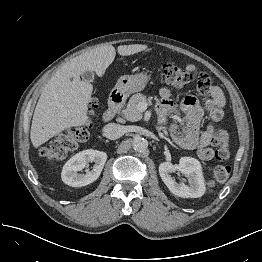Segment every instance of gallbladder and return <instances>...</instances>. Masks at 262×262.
I'll use <instances>...</instances> for the list:
<instances>
[{
  "label": "gallbladder",
  "mask_w": 262,
  "mask_h": 262,
  "mask_svg": "<svg viewBox=\"0 0 262 262\" xmlns=\"http://www.w3.org/2000/svg\"><path fill=\"white\" fill-rule=\"evenodd\" d=\"M81 77L86 82H92L94 80V73L92 71H85L81 74Z\"/></svg>",
  "instance_id": "gallbladder-1"
}]
</instances>
